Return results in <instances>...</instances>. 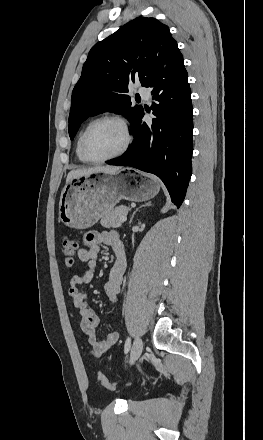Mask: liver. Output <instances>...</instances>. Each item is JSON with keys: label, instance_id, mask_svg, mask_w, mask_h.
<instances>
[{"label": "liver", "instance_id": "liver-1", "mask_svg": "<svg viewBox=\"0 0 263 440\" xmlns=\"http://www.w3.org/2000/svg\"><path fill=\"white\" fill-rule=\"evenodd\" d=\"M120 170L119 167L116 166H96V167H91V168H83V169H76V170H72L68 173L67 178H66V182H68L69 180L76 178V177H80V176H85V175H89V174H93V173H105V174H115Z\"/></svg>", "mask_w": 263, "mask_h": 440}]
</instances>
